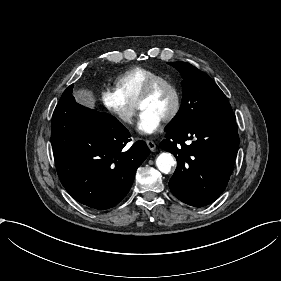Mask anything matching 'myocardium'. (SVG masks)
Here are the masks:
<instances>
[{
  "mask_svg": "<svg viewBox=\"0 0 281 281\" xmlns=\"http://www.w3.org/2000/svg\"><path fill=\"white\" fill-rule=\"evenodd\" d=\"M161 85L167 86L172 94H173V105L168 113V115L164 118L163 122L164 123H170L173 121L176 116L178 115L180 109H181V94L180 90L177 87V85L169 78L163 77V76H158L153 79H151L144 87L142 90L138 101H137V107L140 109V105L143 101L148 99L154 91Z\"/></svg>",
  "mask_w": 281,
  "mask_h": 281,
  "instance_id": "1",
  "label": "myocardium"
}]
</instances>
